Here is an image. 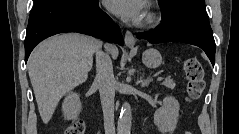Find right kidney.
Instances as JSON below:
<instances>
[{
    "label": "right kidney",
    "instance_id": "ca27d5eb",
    "mask_svg": "<svg viewBox=\"0 0 239 134\" xmlns=\"http://www.w3.org/2000/svg\"><path fill=\"white\" fill-rule=\"evenodd\" d=\"M81 108V101L77 93H69L63 101L62 111L64 118L74 120L77 118Z\"/></svg>",
    "mask_w": 239,
    "mask_h": 134
}]
</instances>
